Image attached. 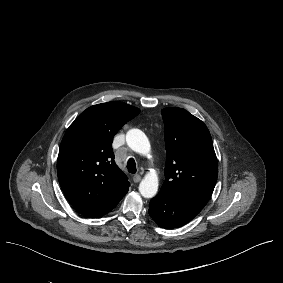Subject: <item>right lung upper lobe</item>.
<instances>
[{
    "label": "right lung upper lobe",
    "mask_w": 283,
    "mask_h": 283,
    "mask_svg": "<svg viewBox=\"0 0 283 283\" xmlns=\"http://www.w3.org/2000/svg\"><path fill=\"white\" fill-rule=\"evenodd\" d=\"M140 110L121 102L89 107L67 129L60 144L57 172L71 205L83 215L100 218L129 188L114 162L111 147L117 131Z\"/></svg>",
    "instance_id": "cb5924a9"
}]
</instances>
